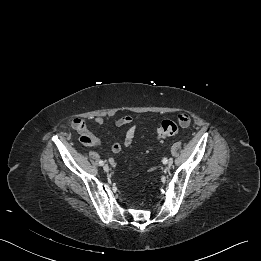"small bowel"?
I'll list each match as a JSON object with an SVG mask.
<instances>
[{"instance_id": "1", "label": "small bowel", "mask_w": 261, "mask_h": 261, "mask_svg": "<svg viewBox=\"0 0 261 261\" xmlns=\"http://www.w3.org/2000/svg\"><path fill=\"white\" fill-rule=\"evenodd\" d=\"M186 117L189 122L186 125H181L182 127H187L190 124V116L186 113H181L178 117ZM97 125H105V120L102 117H94L91 119ZM142 120L141 116L132 117L130 115H123L115 121V125L118 127L129 126L126 131L123 143H113L111 145V151L118 153L121 151L122 146L129 147L135 137L137 124ZM72 128L80 135V142L85 146H100L102 144L101 140L89 131L87 127L86 120L81 118H74L71 121Z\"/></svg>"}]
</instances>
